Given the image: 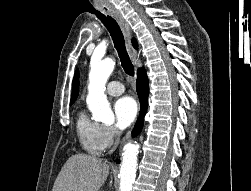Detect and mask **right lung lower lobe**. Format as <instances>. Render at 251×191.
<instances>
[{"mask_svg": "<svg viewBox=\"0 0 251 191\" xmlns=\"http://www.w3.org/2000/svg\"><path fill=\"white\" fill-rule=\"evenodd\" d=\"M137 93L139 96L141 109H140V117L138 119L137 124L135 125L133 129V136H136L140 133L143 127L144 115L147 111L149 86H148V79H147L146 73L140 76H137ZM116 162L119 163V160H117Z\"/></svg>", "mask_w": 251, "mask_h": 191, "instance_id": "right-lung-lower-lobe-1", "label": "right lung lower lobe"}]
</instances>
